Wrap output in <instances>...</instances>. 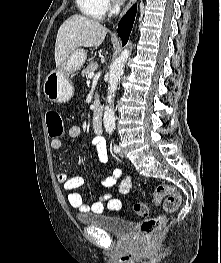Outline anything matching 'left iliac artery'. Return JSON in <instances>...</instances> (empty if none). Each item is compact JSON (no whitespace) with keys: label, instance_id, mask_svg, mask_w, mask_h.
<instances>
[{"label":"left iliac artery","instance_id":"1","mask_svg":"<svg viewBox=\"0 0 221 263\" xmlns=\"http://www.w3.org/2000/svg\"><path fill=\"white\" fill-rule=\"evenodd\" d=\"M113 150H114L115 153H118L120 151V148H119V146L114 145L113 146Z\"/></svg>","mask_w":221,"mask_h":263}]
</instances>
